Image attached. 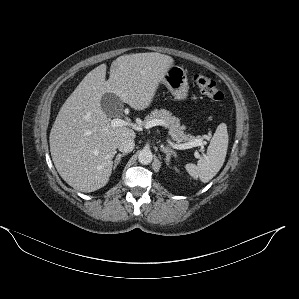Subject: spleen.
<instances>
[{
  "instance_id": "3e777b00",
  "label": "spleen",
  "mask_w": 299,
  "mask_h": 299,
  "mask_svg": "<svg viewBox=\"0 0 299 299\" xmlns=\"http://www.w3.org/2000/svg\"><path fill=\"white\" fill-rule=\"evenodd\" d=\"M228 132L225 123L218 125L210 144L207 154L200 158L197 164L188 163L185 168L194 178L202 182H209L221 169L224 164L228 148Z\"/></svg>"
}]
</instances>
